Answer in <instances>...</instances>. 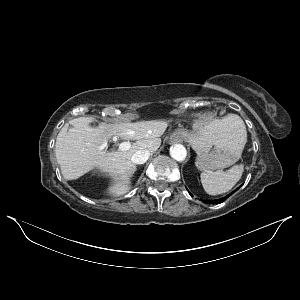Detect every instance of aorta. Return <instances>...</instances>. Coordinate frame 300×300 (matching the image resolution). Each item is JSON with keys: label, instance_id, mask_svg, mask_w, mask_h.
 <instances>
[{"label": "aorta", "instance_id": "762f6f07", "mask_svg": "<svg viewBox=\"0 0 300 300\" xmlns=\"http://www.w3.org/2000/svg\"><path fill=\"white\" fill-rule=\"evenodd\" d=\"M170 156L178 161H184L187 156L186 148L181 144H175L170 148Z\"/></svg>", "mask_w": 300, "mask_h": 300}]
</instances>
